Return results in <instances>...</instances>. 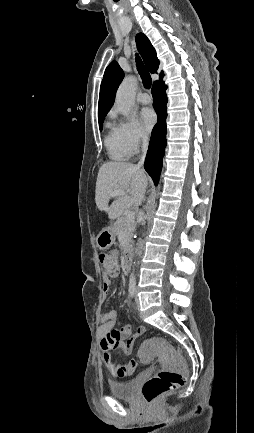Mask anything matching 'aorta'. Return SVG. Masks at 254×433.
Returning a JSON list of instances; mask_svg holds the SVG:
<instances>
[{
    "instance_id": "obj_1",
    "label": "aorta",
    "mask_w": 254,
    "mask_h": 433,
    "mask_svg": "<svg viewBox=\"0 0 254 433\" xmlns=\"http://www.w3.org/2000/svg\"><path fill=\"white\" fill-rule=\"evenodd\" d=\"M135 86L136 79L129 76L123 80L117 90L115 100L116 106L118 111L125 116H128L130 114L133 107L135 99ZM130 281H135L134 273H131Z\"/></svg>"
}]
</instances>
